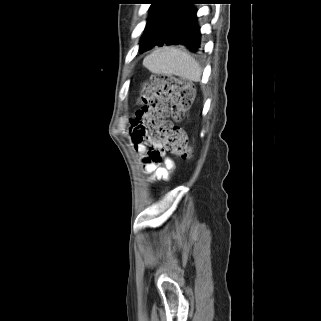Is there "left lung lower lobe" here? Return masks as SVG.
Returning <instances> with one entry per match:
<instances>
[{
	"instance_id": "1",
	"label": "left lung lower lobe",
	"mask_w": 321,
	"mask_h": 321,
	"mask_svg": "<svg viewBox=\"0 0 321 321\" xmlns=\"http://www.w3.org/2000/svg\"><path fill=\"white\" fill-rule=\"evenodd\" d=\"M201 1L180 0L167 23L162 39L148 46L145 51L155 46L183 45L192 52H199L201 50V34L193 4H199Z\"/></svg>"
}]
</instances>
